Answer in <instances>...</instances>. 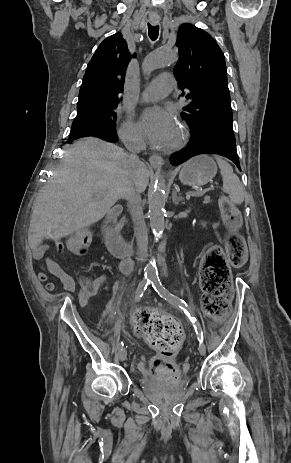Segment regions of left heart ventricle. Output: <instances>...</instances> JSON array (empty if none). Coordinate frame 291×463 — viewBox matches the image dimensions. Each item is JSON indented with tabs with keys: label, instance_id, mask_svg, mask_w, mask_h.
I'll return each instance as SVG.
<instances>
[{
	"label": "left heart ventricle",
	"instance_id": "b2bd125f",
	"mask_svg": "<svg viewBox=\"0 0 291 463\" xmlns=\"http://www.w3.org/2000/svg\"><path fill=\"white\" fill-rule=\"evenodd\" d=\"M175 137H176V133H175V135L173 136V138H172L171 142H172V141L175 139Z\"/></svg>",
	"mask_w": 291,
	"mask_h": 463
}]
</instances>
